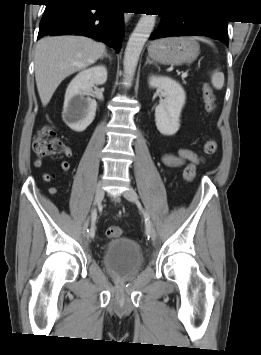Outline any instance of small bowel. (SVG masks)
I'll return each mask as SVG.
<instances>
[{
	"label": "small bowel",
	"instance_id": "obj_1",
	"mask_svg": "<svg viewBox=\"0 0 261 355\" xmlns=\"http://www.w3.org/2000/svg\"><path fill=\"white\" fill-rule=\"evenodd\" d=\"M71 153L69 151L66 152V156H70ZM198 160L197 154L188 148H183L178 150L176 153H165L162 156L163 164L168 168L179 167L184 165L188 161L196 162ZM41 165V160H36L34 162L35 167H39ZM60 168L62 172H67L70 169V163L66 160H61ZM54 175L51 173H46L43 175V180L45 182H50L54 179ZM51 193H55L57 190L54 187L49 189Z\"/></svg>",
	"mask_w": 261,
	"mask_h": 355
}]
</instances>
